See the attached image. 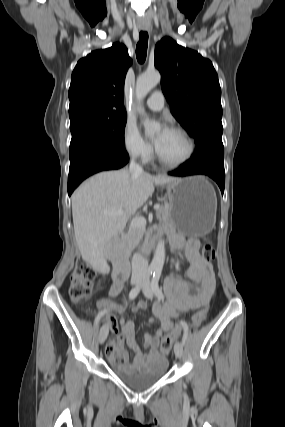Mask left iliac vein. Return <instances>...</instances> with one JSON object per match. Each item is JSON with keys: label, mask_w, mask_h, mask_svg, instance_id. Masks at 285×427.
Returning a JSON list of instances; mask_svg holds the SVG:
<instances>
[{"label": "left iliac vein", "mask_w": 285, "mask_h": 427, "mask_svg": "<svg viewBox=\"0 0 285 427\" xmlns=\"http://www.w3.org/2000/svg\"><path fill=\"white\" fill-rule=\"evenodd\" d=\"M142 291H143L144 295L148 299H152V297H153V290L151 288L149 280H146V282L144 283V285L142 287ZM174 352H175V354H176V356L178 358H181L182 355H183V346H182V344L179 341H177L175 343Z\"/></svg>", "instance_id": "obj_1"}]
</instances>
